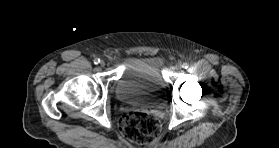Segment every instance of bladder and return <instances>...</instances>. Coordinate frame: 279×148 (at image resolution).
I'll return each instance as SVG.
<instances>
[{
	"instance_id": "31cf9c89",
	"label": "bladder",
	"mask_w": 279,
	"mask_h": 148,
	"mask_svg": "<svg viewBox=\"0 0 279 148\" xmlns=\"http://www.w3.org/2000/svg\"><path fill=\"white\" fill-rule=\"evenodd\" d=\"M160 57H134L127 60L117 80L119 102L148 108H161L166 102V83Z\"/></svg>"
}]
</instances>
